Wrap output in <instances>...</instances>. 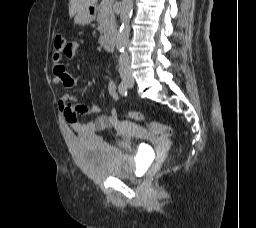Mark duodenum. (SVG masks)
Wrapping results in <instances>:
<instances>
[{"mask_svg": "<svg viewBox=\"0 0 256 228\" xmlns=\"http://www.w3.org/2000/svg\"><path fill=\"white\" fill-rule=\"evenodd\" d=\"M94 12H95V9L93 7L90 8V13L94 14ZM115 39H116V36L114 33H106L101 37L100 41L102 46L106 50L111 51L115 46Z\"/></svg>", "mask_w": 256, "mask_h": 228, "instance_id": "obj_1", "label": "duodenum"}]
</instances>
